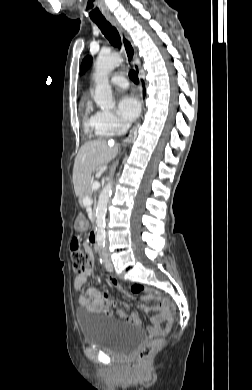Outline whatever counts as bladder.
I'll use <instances>...</instances> for the list:
<instances>
[{"instance_id": "obj_1", "label": "bladder", "mask_w": 252, "mask_h": 390, "mask_svg": "<svg viewBox=\"0 0 252 390\" xmlns=\"http://www.w3.org/2000/svg\"><path fill=\"white\" fill-rule=\"evenodd\" d=\"M83 341L113 353H125L144 340L143 331L131 324L89 313L78 312Z\"/></svg>"}]
</instances>
